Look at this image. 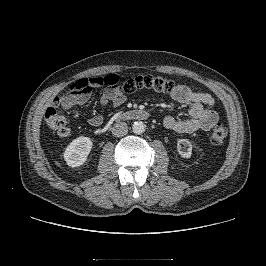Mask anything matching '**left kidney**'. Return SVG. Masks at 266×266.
<instances>
[{
	"mask_svg": "<svg viewBox=\"0 0 266 266\" xmlns=\"http://www.w3.org/2000/svg\"><path fill=\"white\" fill-rule=\"evenodd\" d=\"M180 144H185V145L188 146L187 152L181 151V145ZM177 148H178L179 154L182 157H184V158H190L191 157V154H192V145H191V143L188 140H186V139H179L178 140V146H177Z\"/></svg>",
	"mask_w": 266,
	"mask_h": 266,
	"instance_id": "5707ae66",
	"label": "left kidney"
}]
</instances>
